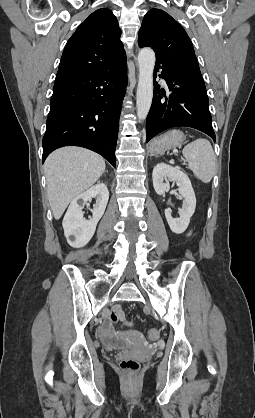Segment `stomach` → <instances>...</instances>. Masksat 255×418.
Segmentation results:
<instances>
[{
  "label": "stomach",
  "instance_id": "1",
  "mask_svg": "<svg viewBox=\"0 0 255 418\" xmlns=\"http://www.w3.org/2000/svg\"><path fill=\"white\" fill-rule=\"evenodd\" d=\"M185 136L180 130H170L160 137L154 139L149 147L152 154H161L172 148L180 146Z\"/></svg>",
  "mask_w": 255,
  "mask_h": 418
}]
</instances>
